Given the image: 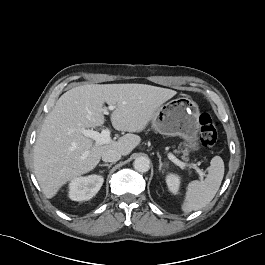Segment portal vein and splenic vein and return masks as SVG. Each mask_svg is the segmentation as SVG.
Segmentation results:
<instances>
[{
  "label": "portal vein and splenic vein",
  "instance_id": "portal-vein-and-splenic-vein-1",
  "mask_svg": "<svg viewBox=\"0 0 265 265\" xmlns=\"http://www.w3.org/2000/svg\"><path fill=\"white\" fill-rule=\"evenodd\" d=\"M114 108H115V106L110 105L107 109L111 111ZM107 109L104 110V113L105 114H108L109 113ZM79 131L84 136L89 137V138L95 140L96 144H107V143H109L111 141V137H110L111 131L108 128L103 129L101 131V133H99L97 131H94L92 129H85V128H80ZM168 158L174 164H176L177 166H179L182 169H185L188 166L194 168L197 171V173L200 175L201 180L204 178L205 172L202 171L201 169H199L196 166V164H186V163L182 162L181 160L177 159L172 153H169L168 154Z\"/></svg>",
  "mask_w": 265,
  "mask_h": 265
}]
</instances>
